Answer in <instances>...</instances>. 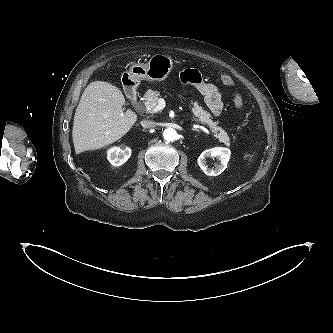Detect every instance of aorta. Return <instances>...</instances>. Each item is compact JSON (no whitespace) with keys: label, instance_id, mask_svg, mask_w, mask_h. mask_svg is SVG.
Returning a JSON list of instances; mask_svg holds the SVG:
<instances>
[{"label":"aorta","instance_id":"obj_1","mask_svg":"<svg viewBox=\"0 0 333 333\" xmlns=\"http://www.w3.org/2000/svg\"><path fill=\"white\" fill-rule=\"evenodd\" d=\"M163 136L167 141H174L177 138V132L173 128H167L164 130Z\"/></svg>","mask_w":333,"mask_h":333}]
</instances>
